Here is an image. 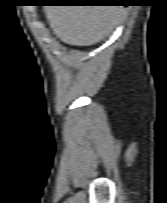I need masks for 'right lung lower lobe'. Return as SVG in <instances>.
<instances>
[{"label":"right lung lower lobe","instance_id":"1","mask_svg":"<svg viewBox=\"0 0 167 203\" xmlns=\"http://www.w3.org/2000/svg\"><path fill=\"white\" fill-rule=\"evenodd\" d=\"M94 1H101V2H99V4H104V5H118V4H121V3H118V0H94ZM123 5H126V4H123Z\"/></svg>","mask_w":167,"mask_h":203}]
</instances>
